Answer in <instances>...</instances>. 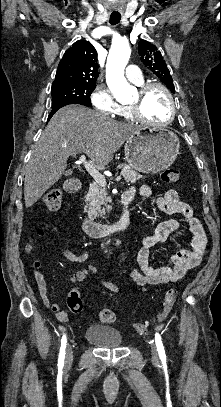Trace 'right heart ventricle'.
<instances>
[{
    "label": "right heart ventricle",
    "mask_w": 221,
    "mask_h": 407,
    "mask_svg": "<svg viewBox=\"0 0 221 407\" xmlns=\"http://www.w3.org/2000/svg\"><path fill=\"white\" fill-rule=\"evenodd\" d=\"M117 114H118L120 117H122V118H124V119H126V120L132 119V116L130 115V113H129L127 107H125V106H120V109H119V111L117 112Z\"/></svg>",
    "instance_id": "obj_1"
}]
</instances>
